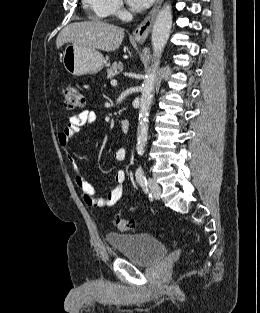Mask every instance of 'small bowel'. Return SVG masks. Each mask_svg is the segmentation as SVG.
<instances>
[{"label":"small bowel","instance_id":"obj_1","mask_svg":"<svg viewBox=\"0 0 260 313\" xmlns=\"http://www.w3.org/2000/svg\"><path fill=\"white\" fill-rule=\"evenodd\" d=\"M97 122V115L91 110H83L69 117L68 124L57 135V142L61 148H66L73 136L82 126H92ZM116 162H123L126 159V150L119 148L114 153ZM67 160L74 172V180L80 188L84 202L92 207H111L116 204L125 192L126 174L118 171L114 176V186L106 197H97L92 185L81 175L77 162L69 155Z\"/></svg>","mask_w":260,"mask_h":313}]
</instances>
